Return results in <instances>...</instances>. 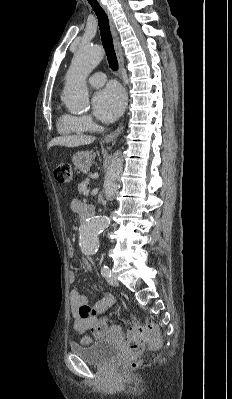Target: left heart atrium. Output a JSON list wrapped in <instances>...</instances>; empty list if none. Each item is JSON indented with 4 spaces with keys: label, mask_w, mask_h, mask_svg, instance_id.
<instances>
[{
    "label": "left heart atrium",
    "mask_w": 232,
    "mask_h": 399,
    "mask_svg": "<svg viewBox=\"0 0 232 399\" xmlns=\"http://www.w3.org/2000/svg\"><path fill=\"white\" fill-rule=\"evenodd\" d=\"M124 102L123 93L118 88L109 86L94 96V114L102 122L111 123L122 114Z\"/></svg>",
    "instance_id": "left-heart-atrium-1"
}]
</instances>
